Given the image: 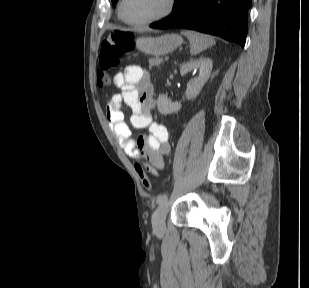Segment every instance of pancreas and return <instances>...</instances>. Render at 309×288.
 <instances>
[{
    "label": "pancreas",
    "mask_w": 309,
    "mask_h": 288,
    "mask_svg": "<svg viewBox=\"0 0 309 288\" xmlns=\"http://www.w3.org/2000/svg\"><path fill=\"white\" fill-rule=\"evenodd\" d=\"M162 63H163V59L160 58V57L150 58V59H149V65H150L151 67H153V66H159V65L162 64Z\"/></svg>",
    "instance_id": "1"
}]
</instances>
